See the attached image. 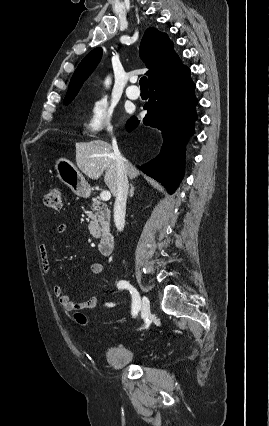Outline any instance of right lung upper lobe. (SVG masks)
<instances>
[{
  "instance_id": "obj_1",
  "label": "right lung upper lobe",
  "mask_w": 269,
  "mask_h": 426,
  "mask_svg": "<svg viewBox=\"0 0 269 426\" xmlns=\"http://www.w3.org/2000/svg\"><path fill=\"white\" fill-rule=\"evenodd\" d=\"M101 56L102 49L100 47L95 48L85 56L71 78L65 99L74 98L77 95L83 82L98 65ZM140 56L149 69L146 73L149 86L183 66L167 34L152 27L145 31L141 42Z\"/></svg>"
}]
</instances>
